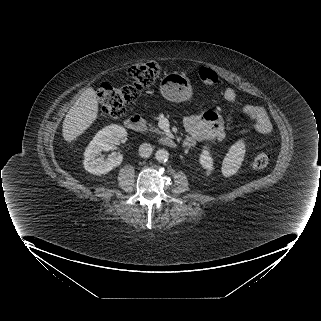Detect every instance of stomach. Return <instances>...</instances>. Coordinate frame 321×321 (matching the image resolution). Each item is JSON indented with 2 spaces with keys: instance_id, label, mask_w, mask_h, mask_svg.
<instances>
[{
  "instance_id": "1",
  "label": "stomach",
  "mask_w": 321,
  "mask_h": 321,
  "mask_svg": "<svg viewBox=\"0 0 321 321\" xmlns=\"http://www.w3.org/2000/svg\"><path fill=\"white\" fill-rule=\"evenodd\" d=\"M160 92L171 102L187 101L193 95L189 80L179 72L165 74L160 82Z\"/></svg>"
}]
</instances>
